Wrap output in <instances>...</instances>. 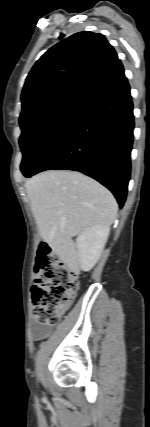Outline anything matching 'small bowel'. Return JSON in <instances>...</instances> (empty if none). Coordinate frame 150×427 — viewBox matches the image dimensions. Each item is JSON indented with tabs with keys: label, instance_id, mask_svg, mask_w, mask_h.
<instances>
[{
	"label": "small bowel",
	"instance_id": "c3829d8e",
	"mask_svg": "<svg viewBox=\"0 0 150 427\" xmlns=\"http://www.w3.org/2000/svg\"><path fill=\"white\" fill-rule=\"evenodd\" d=\"M48 333L49 329L41 325H34L31 328V337L33 340H41L46 337Z\"/></svg>",
	"mask_w": 150,
	"mask_h": 427
}]
</instances>
